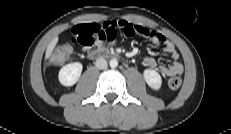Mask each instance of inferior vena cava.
I'll return each mask as SVG.
<instances>
[{
	"mask_svg": "<svg viewBox=\"0 0 231 134\" xmlns=\"http://www.w3.org/2000/svg\"><path fill=\"white\" fill-rule=\"evenodd\" d=\"M95 66L98 69H105L107 67V61L104 58H98L95 62Z\"/></svg>",
	"mask_w": 231,
	"mask_h": 134,
	"instance_id": "inferior-vena-cava-1",
	"label": "inferior vena cava"
}]
</instances>
